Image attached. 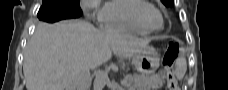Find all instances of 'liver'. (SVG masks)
<instances>
[{
  "mask_svg": "<svg viewBox=\"0 0 228 90\" xmlns=\"http://www.w3.org/2000/svg\"><path fill=\"white\" fill-rule=\"evenodd\" d=\"M151 38L104 32L83 20L39 23L27 43L23 73L27 90H65L75 74L107 62L112 52L130 59Z\"/></svg>",
  "mask_w": 228,
  "mask_h": 90,
  "instance_id": "liver-1",
  "label": "liver"
}]
</instances>
